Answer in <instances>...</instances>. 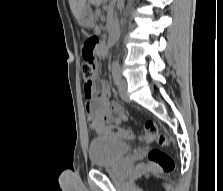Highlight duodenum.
I'll return each mask as SVG.
<instances>
[{
	"instance_id": "obj_1",
	"label": "duodenum",
	"mask_w": 223,
	"mask_h": 191,
	"mask_svg": "<svg viewBox=\"0 0 223 191\" xmlns=\"http://www.w3.org/2000/svg\"><path fill=\"white\" fill-rule=\"evenodd\" d=\"M117 36H118V26L117 24L112 23L109 29L108 37L106 39V46L107 47L111 46L115 42Z\"/></svg>"
}]
</instances>
